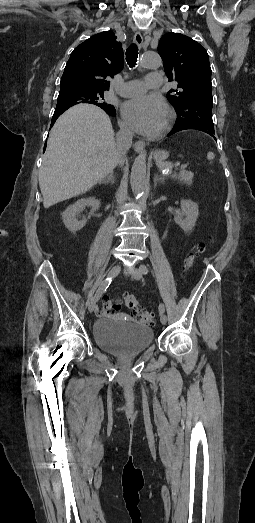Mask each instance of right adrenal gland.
Segmentation results:
<instances>
[{
  "label": "right adrenal gland",
  "instance_id": "2a0ac1e0",
  "mask_svg": "<svg viewBox=\"0 0 255 523\" xmlns=\"http://www.w3.org/2000/svg\"><path fill=\"white\" fill-rule=\"evenodd\" d=\"M103 182H104V184H108V182H110V184H114V172H111V174H109V176H106V178H103Z\"/></svg>",
  "mask_w": 255,
  "mask_h": 523
}]
</instances>
